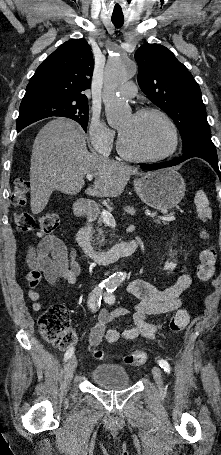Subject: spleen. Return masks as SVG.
Returning a JSON list of instances; mask_svg holds the SVG:
<instances>
[{
    "instance_id": "obj_1",
    "label": "spleen",
    "mask_w": 221,
    "mask_h": 455,
    "mask_svg": "<svg viewBox=\"0 0 221 455\" xmlns=\"http://www.w3.org/2000/svg\"><path fill=\"white\" fill-rule=\"evenodd\" d=\"M194 203L196 205L199 218L201 219L212 218V211L211 208L209 207L210 203L204 191L202 190L197 191L194 197Z\"/></svg>"
}]
</instances>
